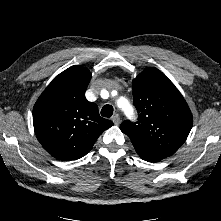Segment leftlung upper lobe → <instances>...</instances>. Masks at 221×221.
<instances>
[{"label": "left lung upper lobe", "instance_id": "left-lung-upper-lobe-1", "mask_svg": "<svg viewBox=\"0 0 221 221\" xmlns=\"http://www.w3.org/2000/svg\"><path fill=\"white\" fill-rule=\"evenodd\" d=\"M136 123L124 121L120 129L133 145L164 159L185 142L192 113L172 82L158 69L147 68L132 82Z\"/></svg>", "mask_w": 221, "mask_h": 221}]
</instances>
